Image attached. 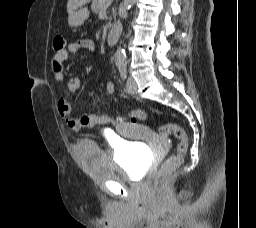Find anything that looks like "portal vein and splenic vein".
<instances>
[{"label":"portal vein and splenic vein","mask_w":256,"mask_h":228,"mask_svg":"<svg viewBox=\"0 0 256 228\" xmlns=\"http://www.w3.org/2000/svg\"><path fill=\"white\" fill-rule=\"evenodd\" d=\"M113 0H103L105 4H110Z\"/></svg>","instance_id":"18ae733b"}]
</instances>
